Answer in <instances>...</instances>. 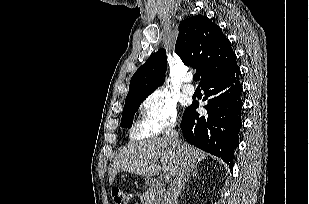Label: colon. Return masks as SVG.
<instances>
[{"mask_svg":"<svg viewBox=\"0 0 309 204\" xmlns=\"http://www.w3.org/2000/svg\"><path fill=\"white\" fill-rule=\"evenodd\" d=\"M112 197L115 204H128L131 198V194L128 190L114 189Z\"/></svg>","mask_w":309,"mask_h":204,"instance_id":"colon-1","label":"colon"}]
</instances>
